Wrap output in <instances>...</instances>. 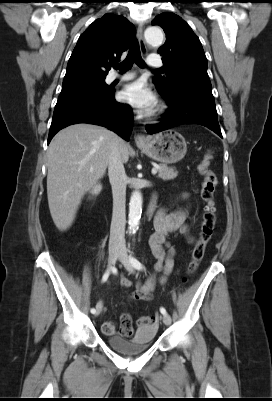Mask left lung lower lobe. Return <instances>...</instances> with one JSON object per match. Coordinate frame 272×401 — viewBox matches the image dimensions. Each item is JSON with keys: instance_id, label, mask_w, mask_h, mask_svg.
I'll list each match as a JSON object with an SVG mask.
<instances>
[{"instance_id": "left-lung-lower-lobe-1", "label": "left lung lower lobe", "mask_w": 272, "mask_h": 401, "mask_svg": "<svg viewBox=\"0 0 272 401\" xmlns=\"http://www.w3.org/2000/svg\"><path fill=\"white\" fill-rule=\"evenodd\" d=\"M162 97L168 103L169 109L163 114L162 123L146 126L149 134L181 124L195 123L208 127L222 137L212 92L180 88Z\"/></svg>"}]
</instances>
